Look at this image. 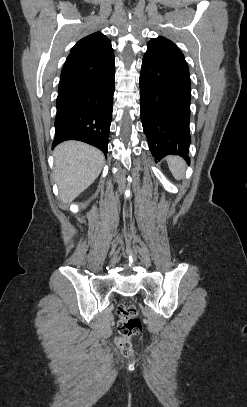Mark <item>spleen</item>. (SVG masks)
Masks as SVG:
<instances>
[{"mask_svg": "<svg viewBox=\"0 0 247 407\" xmlns=\"http://www.w3.org/2000/svg\"><path fill=\"white\" fill-rule=\"evenodd\" d=\"M169 169L176 180L184 178L185 162L177 156H169L167 158Z\"/></svg>", "mask_w": 247, "mask_h": 407, "instance_id": "spleen-1", "label": "spleen"}]
</instances>
